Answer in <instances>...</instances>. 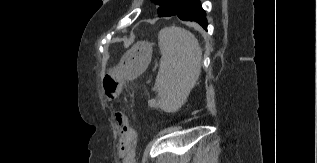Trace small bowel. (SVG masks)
Returning <instances> with one entry per match:
<instances>
[{"label": "small bowel", "mask_w": 317, "mask_h": 163, "mask_svg": "<svg viewBox=\"0 0 317 163\" xmlns=\"http://www.w3.org/2000/svg\"><path fill=\"white\" fill-rule=\"evenodd\" d=\"M116 122L122 134L120 141L125 148L124 158L125 162H133V153L136 146L137 135L135 130L131 125V121L128 115L123 111H118L116 113Z\"/></svg>", "instance_id": "c3829d8e"}]
</instances>
